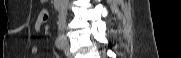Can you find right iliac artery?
I'll return each instance as SVG.
<instances>
[{"instance_id": "82829eb1", "label": "right iliac artery", "mask_w": 181, "mask_h": 58, "mask_svg": "<svg viewBox=\"0 0 181 58\" xmlns=\"http://www.w3.org/2000/svg\"><path fill=\"white\" fill-rule=\"evenodd\" d=\"M55 46L59 49V50H62L63 47H64V44H63V40L61 37H58L55 41Z\"/></svg>"}]
</instances>
